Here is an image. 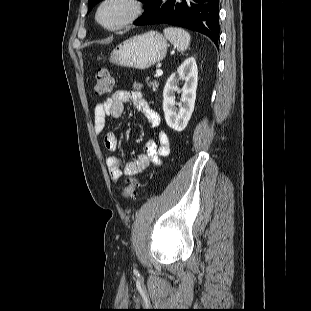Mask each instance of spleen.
Instances as JSON below:
<instances>
[{
  "label": "spleen",
  "mask_w": 311,
  "mask_h": 311,
  "mask_svg": "<svg viewBox=\"0 0 311 311\" xmlns=\"http://www.w3.org/2000/svg\"><path fill=\"white\" fill-rule=\"evenodd\" d=\"M165 37L179 52H184L190 45V34L181 28L168 27L163 30Z\"/></svg>",
  "instance_id": "3e777b00"
}]
</instances>
